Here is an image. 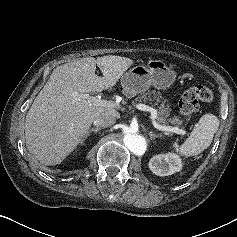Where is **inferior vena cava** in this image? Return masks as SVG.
Instances as JSON below:
<instances>
[{"mask_svg": "<svg viewBox=\"0 0 237 237\" xmlns=\"http://www.w3.org/2000/svg\"><path fill=\"white\" fill-rule=\"evenodd\" d=\"M115 122H116L115 117L110 115H101L94 120L93 124L94 126L101 128V127L112 126L115 124Z\"/></svg>", "mask_w": 237, "mask_h": 237, "instance_id": "obj_1", "label": "inferior vena cava"}]
</instances>
